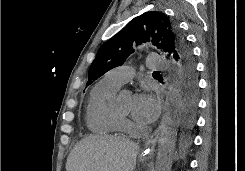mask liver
I'll return each instance as SVG.
<instances>
[{
    "label": "liver",
    "instance_id": "6515ba94",
    "mask_svg": "<svg viewBox=\"0 0 245 171\" xmlns=\"http://www.w3.org/2000/svg\"><path fill=\"white\" fill-rule=\"evenodd\" d=\"M139 146L118 136L91 135L67 158L66 171H133Z\"/></svg>",
    "mask_w": 245,
    "mask_h": 171
}]
</instances>
